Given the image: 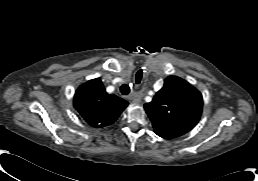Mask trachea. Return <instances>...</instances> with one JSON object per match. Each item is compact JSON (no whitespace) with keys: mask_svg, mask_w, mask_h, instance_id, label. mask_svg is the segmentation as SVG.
<instances>
[{"mask_svg":"<svg viewBox=\"0 0 258 181\" xmlns=\"http://www.w3.org/2000/svg\"><path fill=\"white\" fill-rule=\"evenodd\" d=\"M120 91L123 95H128L130 93V87L126 84H123L120 88Z\"/></svg>","mask_w":258,"mask_h":181,"instance_id":"3493384b","label":"trachea"}]
</instances>
